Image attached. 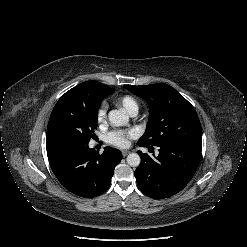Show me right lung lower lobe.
Wrapping results in <instances>:
<instances>
[{"mask_svg":"<svg viewBox=\"0 0 247 247\" xmlns=\"http://www.w3.org/2000/svg\"><path fill=\"white\" fill-rule=\"evenodd\" d=\"M47 155L58 181L84 198L96 197L109 188L115 166L122 159L121 152L109 146L99 154L88 144L67 142L47 147Z\"/></svg>","mask_w":247,"mask_h":247,"instance_id":"right-lung-lower-lobe-1","label":"right lung lower lobe"}]
</instances>
